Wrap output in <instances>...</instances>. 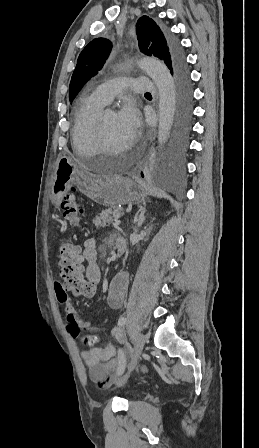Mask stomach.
<instances>
[{
  "instance_id": "0dacf381",
  "label": "stomach",
  "mask_w": 259,
  "mask_h": 448,
  "mask_svg": "<svg viewBox=\"0 0 259 448\" xmlns=\"http://www.w3.org/2000/svg\"><path fill=\"white\" fill-rule=\"evenodd\" d=\"M76 164L69 156H61L55 168L54 180L51 188V200L55 206L60 204L62 198L70 190L71 184L75 182Z\"/></svg>"
}]
</instances>
